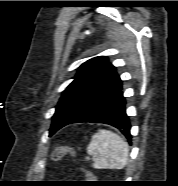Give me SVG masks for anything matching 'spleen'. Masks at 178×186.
<instances>
[{
  "mask_svg": "<svg viewBox=\"0 0 178 186\" xmlns=\"http://www.w3.org/2000/svg\"><path fill=\"white\" fill-rule=\"evenodd\" d=\"M87 153L94 157L96 169H123L128 161L129 146L118 134L101 129L92 136Z\"/></svg>",
  "mask_w": 178,
  "mask_h": 186,
  "instance_id": "obj_1",
  "label": "spleen"
}]
</instances>
